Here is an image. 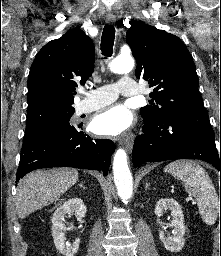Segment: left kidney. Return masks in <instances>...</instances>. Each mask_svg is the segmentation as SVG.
<instances>
[{
	"instance_id": "left-kidney-1",
	"label": "left kidney",
	"mask_w": 221,
	"mask_h": 256,
	"mask_svg": "<svg viewBox=\"0 0 221 256\" xmlns=\"http://www.w3.org/2000/svg\"><path fill=\"white\" fill-rule=\"evenodd\" d=\"M166 210L171 211L173 220L171 222L174 228L172 236H165L163 231H159V236L164 247L171 252H179L185 244V225H184V215L181 206L177 201L171 198L160 199L155 207V214L157 216V222L160 223V217Z\"/></svg>"
}]
</instances>
